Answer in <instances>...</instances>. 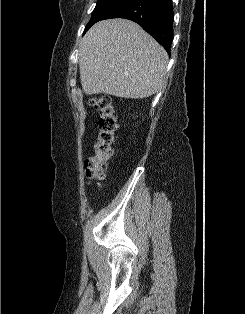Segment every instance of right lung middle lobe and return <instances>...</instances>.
<instances>
[{
  "instance_id": "obj_1",
  "label": "right lung middle lobe",
  "mask_w": 245,
  "mask_h": 314,
  "mask_svg": "<svg viewBox=\"0 0 245 314\" xmlns=\"http://www.w3.org/2000/svg\"><path fill=\"white\" fill-rule=\"evenodd\" d=\"M125 1L127 0H98L95 9L92 12L91 19L86 25L84 33L96 22L103 20L107 14Z\"/></svg>"
}]
</instances>
